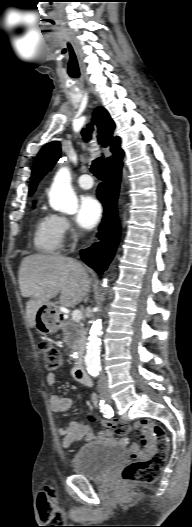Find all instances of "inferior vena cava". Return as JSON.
Returning <instances> with one entry per match:
<instances>
[{"label": "inferior vena cava", "mask_w": 192, "mask_h": 527, "mask_svg": "<svg viewBox=\"0 0 192 527\" xmlns=\"http://www.w3.org/2000/svg\"><path fill=\"white\" fill-rule=\"evenodd\" d=\"M107 384V378L103 372L99 374L98 385L105 386Z\"/></svg>", "instance_id": "602c4592"}]
</instances>
